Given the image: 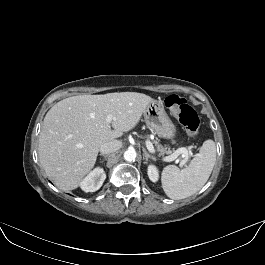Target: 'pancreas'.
I'll list each match as a JSON object with an SVG mask.
<instances>
[{
  "mask_svg": "<svg viewBox=\"0 0 265 265\" xmlns=\"http://www.w3.org/2000/svg\"><path fill=\"white\" fill-rule=\"evenodd\" d=\"M153 143L156 146V151L159 152L161 155L172 154V150L170 148H168V147L164 148L162 145L159 144L157 139Z\"/></svg>",
  "mask_w": 265,
  "mask_h": 265,
  "instance_id": "obj_1",
  "label": "pancreas"
}]
</instances>
